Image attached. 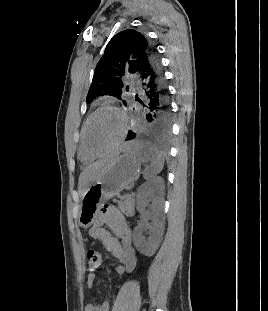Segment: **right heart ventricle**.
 Returning a JSON list of instances; mask_svg holds the SVG:
<instances>
[{"instance_id": "1", "label": "right heart ventricle", "mask_w": 268, "mask_h": 311, "mask_svg": "<svg viewBox=\"0 0 268 311\" xmlns=\"http://www.w3.org/2000/svg\"><path fill=\"white\" fill-rule=\"evenodd\" d=\"M79 157L80 160L85 163V164H90L94 161V158L91 157L84 149L82 145V141L80 142V147H79Z\"/></svg>"}]
</instances>
